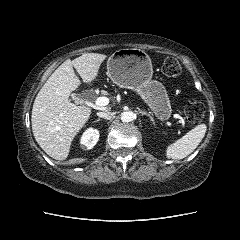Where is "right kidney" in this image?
<instances>
[{"instance_id": "right-kidney-1", "label": "right kidney", "mask_w": 240, "mask_h": 240, "mask_svg": "<svg viewBox=\"0 0 240 240\" xmlns=\"http://www.w3.org/2000/svg\"><path fill=\"white\" fill-rule=\"evenodd\" d=\"M99 140V131L93 128L87 129L80 140V143L87 149L93 148Z\"/></svg>"}]
</instances>
